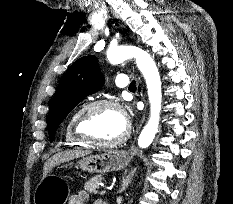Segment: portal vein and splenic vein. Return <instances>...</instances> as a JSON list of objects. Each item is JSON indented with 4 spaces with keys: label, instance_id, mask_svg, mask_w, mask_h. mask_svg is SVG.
Here are the masks:
<instances>
[{
    "label": "portal vein and splenic vein",
    "instance_id": "portal-vein-and-splenic-vein-1",
    "mask_svg": "<svg viewBox=\"0 0 233 204\" xmlns=\"http://www.w3.org/2000/svg\"><path fill=\"white\" fill-rule=\"evenodd\" d=\"M106 192V190L105 189H103L102 191H101V194H104Z\"/></svg>",
    "mask_w": 233,
    "mask_h": 204
}]
</instances>
